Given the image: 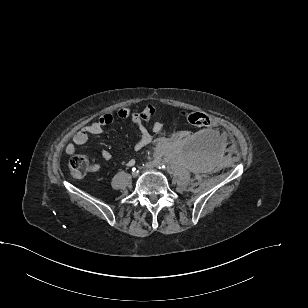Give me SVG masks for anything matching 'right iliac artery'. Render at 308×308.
I'll return each instance as SVG.
<instances>
[{
  "label": "right iliac artery",
  "mask_w": 308,
  "mask_h": 308,
  "mask_svg": "<svg viewBox=\"0 0 308 308\" xmlns=\"http://www.w3.org/2000/svg\"><path fill=\"white\" fill-rule=\"evenodd\" d=\"M132 171H133V172H137V173H138V171H136V168H132Z\"/></svg>",
  "instance_id": "82829eb1"
}]
</instances>
